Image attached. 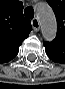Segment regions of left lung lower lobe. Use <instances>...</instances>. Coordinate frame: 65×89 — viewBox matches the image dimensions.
Returning a JSON list of instances; mask_svg holds the SVG:
<instances>
[{"label": "left lung lower lobe", "instance_id": "obj_1", "mask_svg": "<svg viewBox=\"0 0 65 89\" xmlns=\"http://www.w3.org/2000/svg\"><path fill=\"white\" fill-rule=\"evenodd\" d=\"M47 56L56 63L65 64V43L53 40L44 42Z\"/></svg>", "mask_w": 65, "mask_h": 89}]
</instances>
